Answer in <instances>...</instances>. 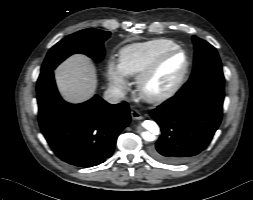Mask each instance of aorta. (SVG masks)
<instances>
[{
  "instance_id": "1",
  "label": "aorta",
  "mask_w": 253,
  "mask_h": 200,
  "mask_svg": "<svg viewBox=\"0 0 253 200\" xmlns=\"http://www.w3.org/2000/svg\"><path fill=\"white\" fill-rule=\"evenodd\" d=\"M143 127L147 129V131H144L141 133V136L146 141H153L155 139L156 134L159 132V127L154 121H144Z\"/></svg>"
}]
</instances>
